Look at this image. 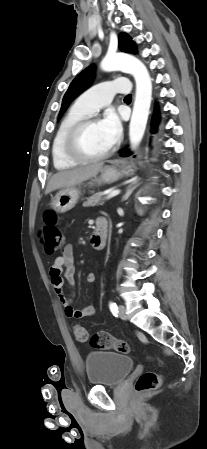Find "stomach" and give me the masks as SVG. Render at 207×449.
I'll return each mask as SVG.
<instances>
[{
  "label": "stomach",
  "instance_id": "obj_1",
  "mask_svg": "<svg viewBox=\"0 0 207 449\" xmlns=\"http://www.w3.org/2000/svg\"><path fill=\"white\" fill-rule=\"evenodd\" d=\"M135 169L132 165L126 162H119L112 166H105L101 169V174L93 181L100 184L113 183L123 177L133 175ZM81 191L78 187L73 186L60 190L51 202L52 209L57 213H65L71 210L77 203Z\"/></svg>",
  "mask_w": 207,
  "mask_h": 449
}]
</instances>
